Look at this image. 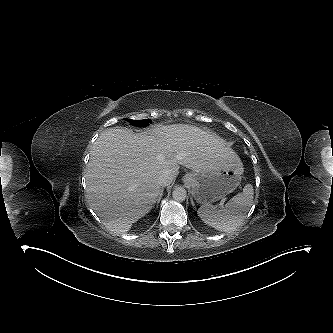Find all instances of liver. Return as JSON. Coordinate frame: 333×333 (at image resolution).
<instances>
[{"label":"liver","instance_id":"1","mask_svg":"<svg viewBox=\"0 0 333 333\" xmlns=\"http://www.w3.org/2000/svg\"><path fill=\"white\" fill-rule=\"evenodd\" d=\"M238 160L223 139L190 125L157 126L139 134L107 128L90 153L88 203L109 230L126 233L152 209L163 171L175 179L179 165L201 172Z\"/></svg>","mask_w":333,"mask_h":333}]
</instances>
